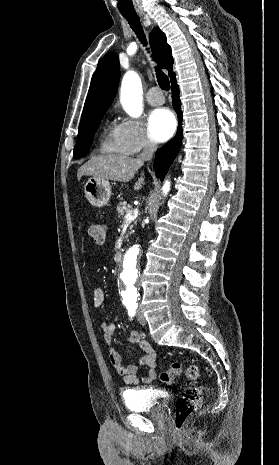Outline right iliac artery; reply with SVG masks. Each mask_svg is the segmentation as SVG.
I'll return each instance as SVG.
<instances>
[{"label": "right iliac artery", "mask_w": 279, "mask_h": 465, "mask_svg": "<svg viewBox=\"0 0 279 465\" xmlns=\"http://www.w3.org/2000/svg\"><path fill=\"white\" fill-rule=\"evenodd\" d=\"M136 309H137V306H128L127 307L128 314H129V316L131 318L135 315Z\"/></svg>", "instance_id": "obj_1"}]
</instances>
